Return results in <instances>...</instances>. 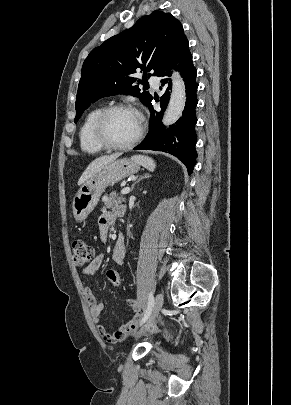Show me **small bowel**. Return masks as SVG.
<instances>
[{"label":"small bowel","instance_id":"c3829d8e","mask_svg":"<svg viewBox=\"0 0 291 405\" xmlns=\"http://www.w3.org/2000/svg\"><path fill=\"white\" fill-rule=\"evenodd\" d=\"M115 215L111 212L103 213L99 218V231H100V238L101 240L105 241L107 238V234L109 231L110 226L114 221ZM102 255H98L95 257L84 269L83 274L89 277L94 276L97 271L100 269L102 264ZM125 258V246L122 238H120L112 252V259L113 261L118 264L122 265ZM85 296L90 306V313L97 324V329L101 337L112 343H118L124 341L127 337H129L134 331L137 330V326L140 322L141 316L143 314L144 308L137 302L135 299H128L127 304L133 309L134 316L132 319L126 323L125 325L121 326L116 331H108L102 324H101V313L104 309L103 302L99 301L91 289H85Z\"/></svg>","mask_w":291,"mask_h":405}]
</instances>
